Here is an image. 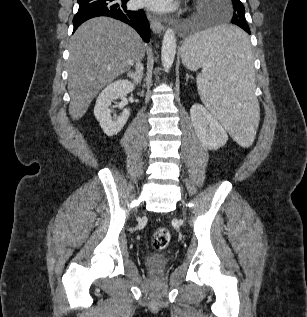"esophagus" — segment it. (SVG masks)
Returning a JSON list of instances; mask_svg holds the SVG:
<instances>
[{"label": "esophagus", "instance_id": "1", "mask_svg": "<svg viewBox=\"0 0 307 317\" xmlns=\"http://www.w3.org/2000/svg\"><path fill=\"white\" fill-rule=\"evenodd\" d=\"M147 16L150 21V25H151L153 33L156 35H160L164 30V26L161 20L150 13H148Z\"/></svg>", "mask_w": 307, "mask_h": 317}]
</instances>
